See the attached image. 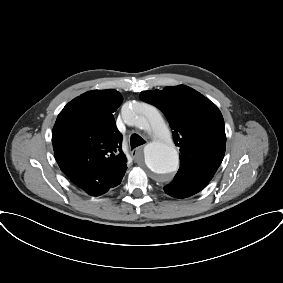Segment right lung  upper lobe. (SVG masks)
<instances>
[{
    "mask_svg": "<svg viewBox=\"0 0 283 283\" xmlns=\"http://www.w3.org/2000/svg\"><path fill=\"white\" fill-rule=\"evenodd\" d=\"M122 101L116 90H92L70 101L57 117L52 132L55 158L81 189L94 181L111 185L126 172L122 135L113 116Z\"/></svg>",
    "mask_w": 283,
    "mask_h": 283,
    "instance_id": "obj_1",
    "label": "right lung upper lobe"
}]
</instances>
